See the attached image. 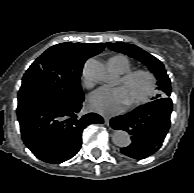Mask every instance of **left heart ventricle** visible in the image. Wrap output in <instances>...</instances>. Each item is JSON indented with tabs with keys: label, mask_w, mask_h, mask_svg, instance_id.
Segmentation results:
<instances>
[{
	"label": "left heart ventricle",
	"mask_w": 194,
	"mask_h": 193,
	"mask_svg": "<svg viewBox=\"0 0 194 193\" xmlns=\"http://www.w3.org/2000/svg\"><path fill=\"white\" fill-rule=\"evenodd\" d=\"M127 103L139 98L146 90L147 80L143 76H137L126 84L121 83Z\"/></svg>",
	"instance_id": "b2bd125f"
}]
</instances>
